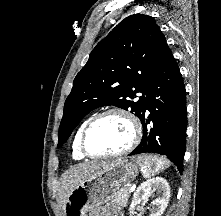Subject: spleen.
Masks as SVG:
<instances>
[{"label": "spleen", "instance_id": "spleen-1", "mask_svg": "<svg viewBox=\"0 0 221 216\" xmlns=\"http://www.w3.org/2000/svg\"><path fill=\"white\" fill-rule=\"evenodd\" d=\"M137 163L141 167L144 178H150L169 166V161L154 155H139Z\"/></svg>", "mask_w": 221, "mask_h": 216}]
</instances>
